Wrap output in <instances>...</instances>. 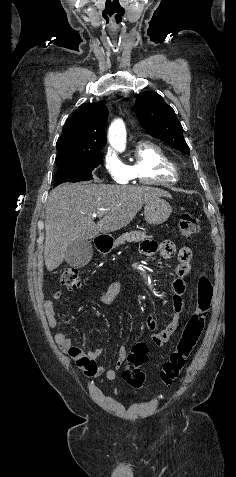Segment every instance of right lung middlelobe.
Returning a JSON list of instances; mask_svg holds the SVG:
<instances>
[{
	"label": "right lung middle lobe",
	"instance_id": "obj_1",
	"mask_svg": "<svg viewBox=\"0 0 236 477\" xmlns=\"http://www.w3.org/2000/svg\"><path fill=\"white\" fill-rule=\"evenodd\" d=\"M103 160L100 150L79 154L73 158L55 161L57 171L54 186L64 182H78L92 180V170L98 167Z\"/></svg>",
	"mask_w": 236,
	"mask_h": 477
}]
</instances>
